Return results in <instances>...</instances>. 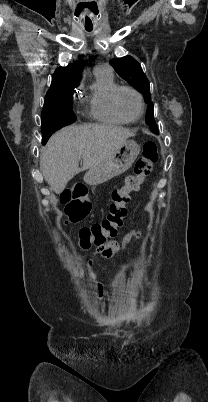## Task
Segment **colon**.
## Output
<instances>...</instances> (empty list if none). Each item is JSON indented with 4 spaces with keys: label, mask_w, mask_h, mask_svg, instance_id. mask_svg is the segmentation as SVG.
<instances>
[{
    "label": "colon",
    "mask_w": 208,
    "mask_h": 402,
    "mask_svg": "<svg viewBox=\"0 0 208 402\" xmlns=\"http://www.w3.org/2000/svg\"><path fill=\"white\" fill-rule=\"evenodd\" d=\"M157 157V145L153 141L145 142L141 158L134 166V173L125 178L122 186L111 191L108 216L101 221L82 228L77 233L78 243L81 248L88 250L95 244L104 245L108 241L109 236L117 235L118 230L123 226L128 215L127 204L130 201V195L138 191L141 182L151 174ZM86 195L87 188L84 183L76 184L70 193V196L73 198L84 197ZM91 212V205L67 204L64 224L83 222V214H91Z\"/></svg>",
    "instance_id": "colon-1"
}]
</instances>
